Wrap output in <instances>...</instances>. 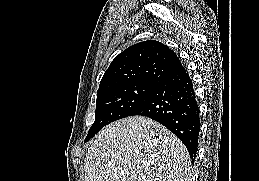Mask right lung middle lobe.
<instances>
[{
  "label": "right lung middle lobe",
  "mask_w": 259,
  "mask_h": 181,
  "mask_svg": "<svg viewBox=\"0 0 259 181\" xmlns=\"http://www.w3.org/2000/svg\"><path fill=\"white\" fill-rule=\"evenodd\" d=\"M155 83H135L103 90L97 93L95 122L85 142L109 123L131 116L153 94Z\"/></svg>",
  "instance_id": "1"
}]
</instances>
